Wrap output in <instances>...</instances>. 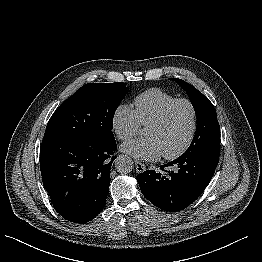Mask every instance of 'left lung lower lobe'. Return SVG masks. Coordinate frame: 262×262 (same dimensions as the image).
I'll use <instances>...</instances> for the list:
<instances>
[{
  "mask_svg": "<svg viewBox=\"0 0 262 262\" xmlns=\"http://www.w3.org/2000/svg\"><path fill=\"white\" fill-rule=\"evenodd\" d=\"M220 153L181 155L165 165L161 172L147 170L137 181L144 197L156 207L169 212L192 204L205 190L219 162Z\"/></svg>",
  "mask_w": 262,
  "mask_h": 262,
  "instance_id": "left-lung-lower-lobe-1",
  "label": "left lung lower lobe"
}]
</instances>
